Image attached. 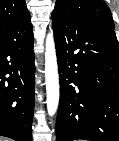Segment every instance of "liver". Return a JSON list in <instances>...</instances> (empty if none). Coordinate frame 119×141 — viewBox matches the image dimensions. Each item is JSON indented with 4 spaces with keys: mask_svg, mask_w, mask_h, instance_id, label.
Returning <instances> with one entry per match:
<instances>
[{
    "mask_svg": "<svg viewBox=\"0 0 119 141\" xmlns=\"http://www.w3.org/2000/svg\"><path fill=\"white\" fill-rule=\"evenodd\" d=\"M0 141H8V140H6V139H4V138H0Z\"/></svg>",
    "mask_w": 119,
    "mask_h": 141,
    "instance_id": "1",
    "label": "liver"
}]
</instances>
